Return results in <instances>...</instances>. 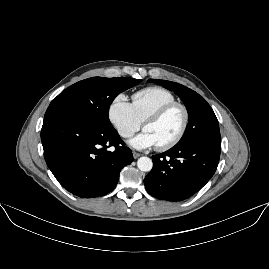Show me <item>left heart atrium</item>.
<instances>
[{"mask_svg": "<svg viewBox=\"0 0 269 269\" xmlns=\"http://www.w3.org/2000/svg\"><path fill=\"white\" fill-rule=\"evenodd\" d=\"M130 145L137 149L150 148L156 146L151 135L144 131L130 141Z\"/></svg>", "mask_w": 269, "mask_h": 269, "instance_id": "39dd6f15", "label": "left heart atrium"}]
</instances>
